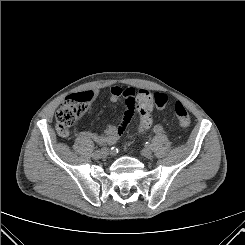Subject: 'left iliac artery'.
<instances>
[{
    "instance_id": "obj_1",
    "label": "left iliac artery",
    "mask_w": 245,
    "mask_h": 245,
    "mask_svg": "<svg viewBox=\"0 0 245 245\" xmlns=\"http://www.w3.org/2000/svg\"><path fill=\"white\" fill-rule=\"evenodd\" d=\"M162 130H163V129H162V127H161V126H159V125H158V126H156V127L154 128V131H155L156 133H158V134H159V133H161V132H162Z\"/></svg>"
}]
</instances>
